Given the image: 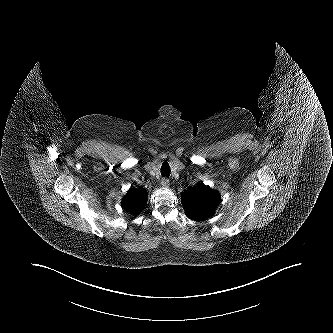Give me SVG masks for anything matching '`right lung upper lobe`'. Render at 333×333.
Instances as JSON below:
<instances>
[{
    "label": "right lung upper lobe",
    "mask_w": 333,
    "mask_h": 333,
    "mask_svg": "<svg viewBox=\"0 0 333 333\" xmlns=\"http://www.w3.org/2000/svg\"><path fill=\"white\" fill-rule=\"evenodd\" d=\"M147 192L143 190L130 189L122 200V207L137 215L145 207L147 203Z\"/></svg>",
    "instance_id": "1"
}]
</instances>
